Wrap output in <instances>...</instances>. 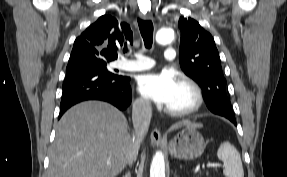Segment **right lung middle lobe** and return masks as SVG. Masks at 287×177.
Returning a JSON list of instances; mask_svg holds the SVG:
<instances>
[{"instance_id": "1", "label": "right lung middle lobe", "mask_w": 287, "mask_h": 177, "mask_svg": "<svg viewBox=\"0 0 287 177\" xmlns=\"http://www.w3.org/2000/svg\"><path fill=\"white\" fill-rule=\"evenodd\" d=\"M111 60L103 59L97 56H86L76 60L68 62L66 72L82 69V68H94L99 69L105 73L116 74L115 72L109 71L107 68L108 62Z\"/></svg>"}]
</instances>
